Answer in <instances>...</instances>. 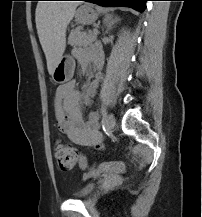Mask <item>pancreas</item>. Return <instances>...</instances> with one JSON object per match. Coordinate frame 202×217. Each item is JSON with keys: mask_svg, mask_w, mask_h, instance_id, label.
Instances as JSON below:
<instances>
[{"mask_svg": "<svg viewBox=\"0 0 202 217\" xmlns=\"http://www.w3.org/2000/svg\"><path fill=\"white\" fill-rule=\"evenodd\" d=\"M96 38L97 35L94 33L81 32L80 27H77L71 31L68 38V43L72 46H87L94 42Z\"/></svg>", "mask_w": 202, "mask_h": 217, "instance_id": "cf45deb5", "label": "pancreas"}]
</instances>
